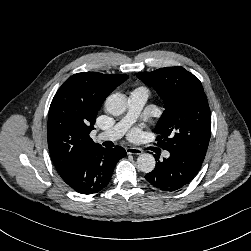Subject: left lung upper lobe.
<instances>
[{
    "label": "left lung upper lobe",
    "instance_id": "1",
    "mask_svg": "<svg viewBox=\"0 0 251 251\" xmlns=\"http://www.w3.org/2000/svg\"><path fill=\"white\" fill-rule=\"evenodd\" d=\"M137 77L154 87L165 102L154 131L159 134L160 147L203 161L210 140L211 113L199 79L179 66L139 72Z\"/></svg>",
    "mask_w": 251,
    "mask_h": 251
}]
</instances>
